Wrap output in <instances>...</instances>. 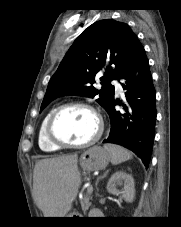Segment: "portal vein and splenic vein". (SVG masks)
Instances as JSON below:
<instances>
[{
  "label": "portal vein and splenic vein",
  "instance_id": "obj_1",
  "mask_svg": "<svg viewBox=\"0 0 181 227\" xmlns=\"http://www.w3.org/2000/svg\"><path fill=\"white\" fill-rule=\"evenodd\" d=\"M92 191H93V187L90 186V187L87 189V192L92 193Z\"/></svg>",
  "mask_w": 181,
  "mask_h": 227
}]
</instances>
